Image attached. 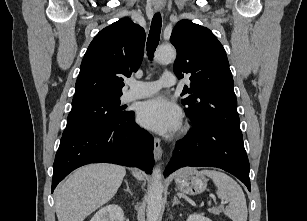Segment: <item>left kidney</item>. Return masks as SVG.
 Wrapping results in <instances>:
<instances>
[{
    "instance_id": "obj_1",
    "label": "left kidney",
    "mask_w": 307,
    "mask_h": 221,
    "mask_svg": "<svg viewBox=\"0 0 307 221\" xmlns=\"http://www.w3.org/2000/svg\"><path fill=\"white\" fill-rule=\"evenodd\" d=\"M186 221H212V220L201 214H192L187 218Z\"/></svg>"
}]
</instances>
